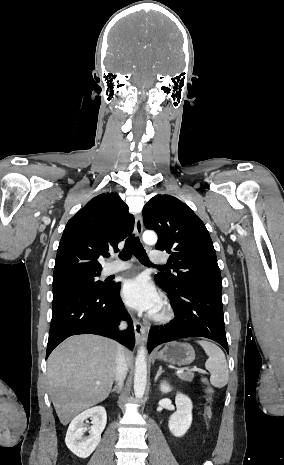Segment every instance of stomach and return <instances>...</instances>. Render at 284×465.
I'll return each instance as SVG.
<instances>
[{"label": "stomach", "mask_w": 284, "mask_h": 465, "mask_svg": "<svg viewBox=\"0 0 284 465\" xmlns=\"http://www.w3.org/2000/svg\"><path fill=\"white\" fill-rule=\"evenodd\" d=\"M156 359H161L171 365H191L195 359V351L191 345H182V343H167L166 347L159 351Z\"/></svg>", "instance_id": "1"}]
</instances>
